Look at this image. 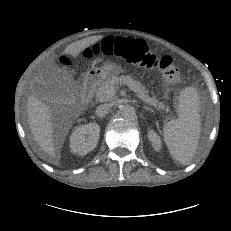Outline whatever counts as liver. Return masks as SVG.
<instances>
[{"label": "liver", "mask_w": 231, "mask_h": 231, "mask_svg": "<svg viewBox=\"0 0 231 231\" xmlns=\"http://www.w3.org/2000/svg\"><path fill=\"white\" fill-rule=\"evenodd\" d=\"M103 36H91L69 44L63 51L64 55L78 56L85 48L101 40ZM28 123L35 141L43 153L51 159H58L53 142L51 108L30 95L27 101Z\"/></svg>", "instance_id": "liver-1"}]
</instances>
